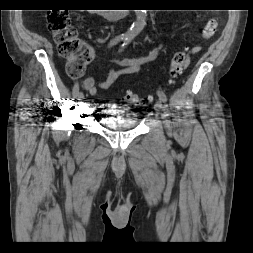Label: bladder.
I'll list each match as a JSON object with an SVG mask.
<instances>
[{
	"mask_svg": "<svg viewBox=\"0 0 253 253\" xmlns=\"http://www.w3.org/2000/svg\"><path fill=\"white\" fill-rule=\"evenodd\" d=\"M113 111L104 110L100 113L103 127L116 131L131 130L138 126L137 118L124 106H114Z\"/></svg>",
	"mask_w": 253,
	"mask_h": 253,
	"instance_id": "obj_1",
	"label": "bladder"
}]
</instances>
